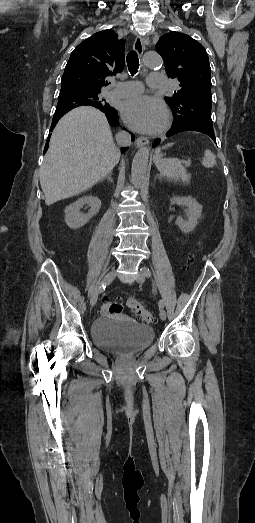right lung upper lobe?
<instances>
[{
    "label": "right lung upper lobe",
    "instance_id": "obj_1",
    "mask_svg": "<svg viewBox=\"0 0 255 523\" xmlns=\"http://www.w3.org/2000/svg\"><path fill=\"white\" fill-rule=\"evenodd\" d=\"M124 43L125 41L118 39V35L110 29L100 31L84 40L71 53L62 76L61 90L101 92L102 87L109 84L105 78L121 72L124 68ZM82 105L100 109L111 126L118 125L117 110L108 103L98 100L58 102L51 131L64 114ZM125 149L122 148L121 151L124 152Z\"/></svg>",
    "mask_w": 255,
    "mask_h": 523
}]
</instances>
